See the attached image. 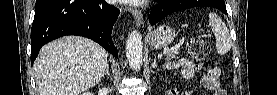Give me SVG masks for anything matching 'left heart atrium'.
<instances>
[{
    "label": "left heart atrium",
    "mask_w": 277,
    "mask_h": 95,
    "mask_svg": "<svg viewBox=\"0 0 277 95\" xmlns=\"http://www.w3.org/2000/svg\"><path fill=\"white\" fill-rule=\"evenodd\" d=\"M130 2L135 5H140V4L146 3L147 0H131Z\"/></svg>",
    "instance_id": "1"
}]
</instances>
